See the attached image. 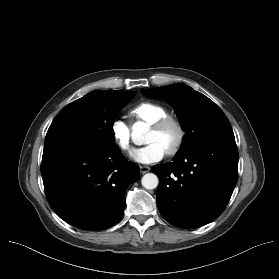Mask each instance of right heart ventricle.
I'll use <instances>...</instances> for the list:
<instances>
[{
    "label": "right heart ventricle",
    "instance_id": "right-heart-ventricle-1",
    "mask_svg": "<svg viewBox=\"0 0 279 279\" xmlns=\"http://www.w3.org/2000/svg\"><path fill=\"white\" fill-rule=\"evenodd\" d=\"M131 114L138 121L152 124L156 120L168 116V111L164 106L160 104L145 101L136 105L132 109Z\"/></svg>",
    "mask_w": 279,
    "mask_h": 279
}]
</instances>
